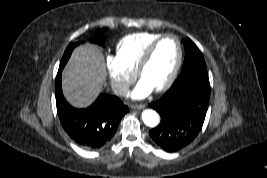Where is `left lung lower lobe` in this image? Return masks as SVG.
Returning <instances> with one entry per match:
<instances>
[{
    "instance_id": "obj_1",
    "label": "left lung lower lobe",
    "mask_w": 267,
    "mask_h": 178,
    "mask_svg": "<svg viewBox=\"0 0 267 178\" xmlns=\"http://www.w3.org/2000/svg\"><path fill=\"white\" fill-rule=\"evenodd\" d=\"M209 98L208 78L177 79L158 101L149 105L161 116L159 125L149 131L152 140L166 152L187 146L203 126Z\"/></svg>"
}]
</instances>
